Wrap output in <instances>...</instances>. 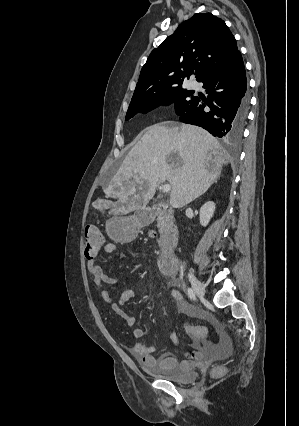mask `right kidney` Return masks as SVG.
I'll return each instance as SVG.
<instances>
[{
	"mask_svg": "<svg viewBox=\"0 0 299 426\" xmlns=\"http://www.w3.org/2000/svg\"><path fill=\"white\" fill-rule=\"evenodd\" d=\"M215 211V203L208 201L203 204L199 211L200 224L203 227H206L210 222V219L213 217Z\"/></svg>",
	"mask_w": 299,
	"mask_h": 426,
	"instance_id": "obj_1",
	"label": "right kidney"
}]
</instances>
